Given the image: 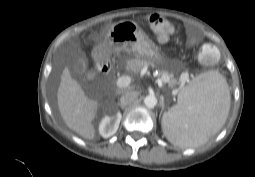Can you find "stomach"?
I'll return each instance as SVG.
<instances>
[{"instance_id": "1", "label": "stomach", "mask_w": 255, "mask_h": 177, "mask_svg": "<svg viewBox=\"0 0 255 177\" xmlns=\"http://www.w3.org/2000/svg\"><path fill=\"white\" fill-rule=\"evenodd\" d=\"M96 49L102 57H108L112 52H126L157 63L163 62V56L158 47L137 23L131 20L113 24L107 32L104 43Z\"/></svg>"}]
</instances>
